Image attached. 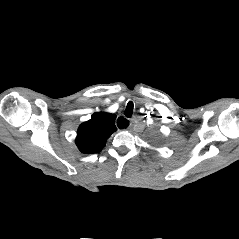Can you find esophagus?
I'll list each match as a JSON object with an SVG mask.
<instances>
[{
  "label": "esophagus",
  "mask_w": 239,
  "mask_h": 239,
  "mask_svg": "<svg viewBox=\"0 0 239 239\" xmlns=\"http://www.w3.org/2000/svg\"><path fill=\"white\" fill-rule=\"evenodd\" d=\"M129 125V121L124 118V117H119L117 119V126L119 129H124V128H127Z\"/></svg>",
  "instance_id": "1"
}]
</instances>
